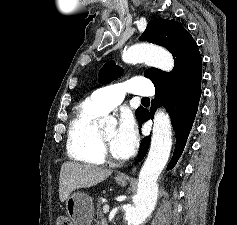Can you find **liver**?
<instances>
[{"mask_svg":"<svg viewBox=\"0 0 237 225\" xmlns=\"http://www.w3.org/2000/svg\"><path fill=\"white\" fill-rule=\"evenodd\" d=\"M112 174V170L101 167L65 162L61 166L59 177V199L66 201L70 194L80 188H89L104 181Z\"/></svg>","mask_w":237,"mask_h":225,"instance_id":"liver-1","label":"liver"}]
</instances>
